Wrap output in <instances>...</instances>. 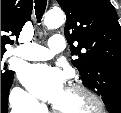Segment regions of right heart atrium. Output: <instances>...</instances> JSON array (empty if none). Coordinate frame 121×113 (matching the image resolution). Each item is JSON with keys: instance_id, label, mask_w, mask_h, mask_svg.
<instances>
[{"instance_id": "d8ad5b80", "label": "right heart atrium", "mask_w": 121, "mask_h": 113, "mask_svg": "<svg viewBox=\"0 0 121 113\" xmlns=\"http://www.w3.org/2000/svg\"><path fill=\"white\" fill-rule=\"evenodd\" d=\"M11 103L16 110L33 113L40 108L39 103L26 91L16 87L11 92Z\"/></svg>"}]
</instances>
